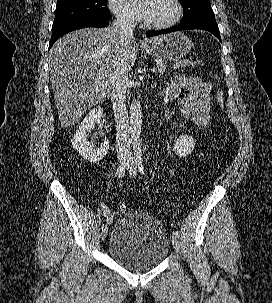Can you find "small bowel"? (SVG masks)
<instances>
[{"label": "small bowel", "instance_id": "c3829d8e", "mask_svg": "<svg viewBox=\"0 0 272 303\" xmlns=\"http://www.w3.org/2000/svg\"><path fill=\"white\" fill-rule=\"evenodd\" d=\"M177 98L186 121L206 130L211 122L212 86L196 76L175 75L165 90ZM182 127V125H180Z\"/></svg>", "mask_w": 272, "mask_h": 303}]
</instances>
